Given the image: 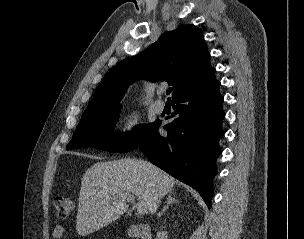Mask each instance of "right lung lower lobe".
<instances>
[{"mask_svg": "<svg viewBox=\"0 0 304 239\" xmlns=\"http://www.w3.org/2000/svg\"><path fill=\"white\" fill-rule=\"evenodd\" d=\"M215 69L193 85L173 96L175 119L157 130L158 120L151 134L139 145L149 160L176 179L201 194L211 207L212 181L217 174L216 159L222 153L219 140L224 135L222 121L223 96L219 92Z\"/></svg>", "mask_w": 304, "mask_h": 239, "instance_id": "right-lung-lower-lobe-1", "label": "right lung lower lobe"}]
</instances>
